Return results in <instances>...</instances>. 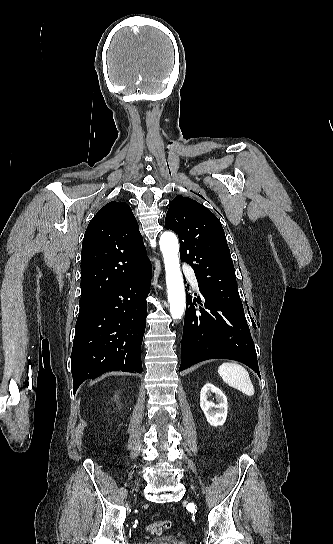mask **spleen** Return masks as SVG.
Wrapping results in <instances>:
<instances>
[{
    "label": "spleen",
    "mask_w": 333,
    "mask_h": 544,
    "mask_svg": "<svg viewBox=\"0 0 333 544\" xmlns=\"http://www.w3.org/2000/svg\"><path fill=\"white\" fill-rule=\"evenodd\" d=\"M218 373L223 381L232 388L247 396L254 395V387L249 374L241 365L235 362H225L219 366Z\"/></svg>",
    "instance_id": "3e777b00"
}]
</instances>
